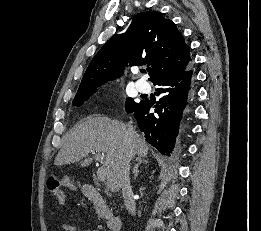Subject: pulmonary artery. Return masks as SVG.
Returning <instances> with one entry per match:
<instances>
[{
  "label": "pulmonary artery",
  "mask_w": 261,
  "mask_h": 231,
  "mask_svg": "<svg viewBox=\"0 0 261 231\" xmlns=\"http://www.w3.org/2000/svg\"><path fill=\"white\" fill-rule=\"evenodd\" d=\"M136 86L141 92H146L148 90V84L144 80H138Z\"/></svg>",
  "instance_id": "obj_1"
}]
</instances>
